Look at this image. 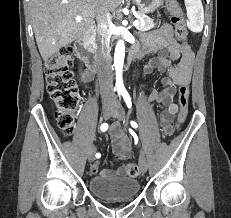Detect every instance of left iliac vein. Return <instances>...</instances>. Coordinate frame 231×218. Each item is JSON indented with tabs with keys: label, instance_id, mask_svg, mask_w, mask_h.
<instances>
[{
	"label": "left iliac vein",
	"instance_id": "obj_1",
	"mask_svg": "<svg viewBox=\"0 0 231 218\" xmlns=\"http://www.w3.org/2000/svg\"><path fill=\"white\" fill-rule=\"evenodd\" d=\"M113 116L121 121L125 119V110L119 103L114 107ZM139 166L143 173L148 169L146 156L143 150L140 151Z\"/></svg>",
	"mask_w": 231,
	"mask_h": 218
}]
</instances>
